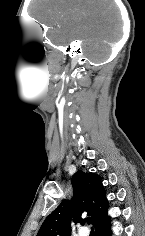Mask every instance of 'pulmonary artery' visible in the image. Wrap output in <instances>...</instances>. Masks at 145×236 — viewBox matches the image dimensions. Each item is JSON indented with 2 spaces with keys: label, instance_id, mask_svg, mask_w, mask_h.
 <instances>
[{
  "label": "pulmonary artery",
  "instance_id": "pulmonary-artery-1",
  "mask_svg": "<svg viewBox=\"0 0 145 236\" xmlns=\"http://www.w3.org/2000/svg\"><path fill=\"white\" fill-rule=\"evenodd\" d=\"M79 236H89V230L85 227H81L78 230Z\"/></svg>",
  "mask_w": 145,
  "mask_h": 236
}]
</instances>
